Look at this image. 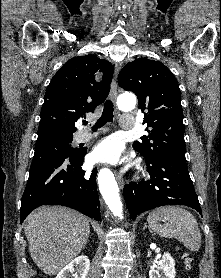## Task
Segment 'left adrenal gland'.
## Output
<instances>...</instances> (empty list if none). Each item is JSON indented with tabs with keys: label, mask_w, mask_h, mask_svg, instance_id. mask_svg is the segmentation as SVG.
Here are the masks:
<instances>
[{
	"label": "left adrenal gland",
	"mask_w": 221,
	"mask_h": 278,
	"mask_svg": "<svg viewBox=\"0 0 221 278\" xmlns=\"http://www.w3.org/2000/svg\"><path fill=\"white\" fill-rule=\"evenodd\" d=\"M147 228V225L145 224V226L143 227V230H145ZM151 233H152V231L151 230H149Z\"/></svg>",
	"instance_id": "left-adrenal-gland-1"
}]
</instances>
